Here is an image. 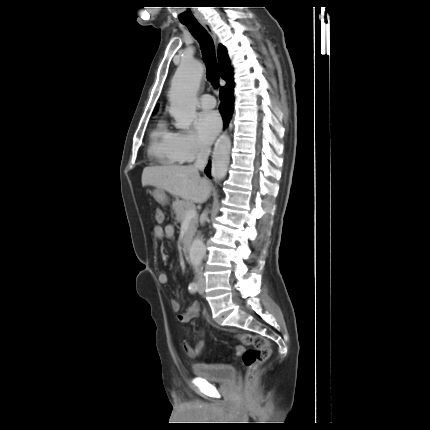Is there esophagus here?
<instances>
[{
  "label": "esophagus",
  "instance_id": "esophagus-1",
  "mask_svg": "<svg viewBox=\"0 0 430 430\" xmlns=\"http://www.w3.org/2000/svg\"><path fill=\"white\" fill-rule=\"evenodd\" d=\"M201 24L206 29V31L210 34V36L214 40L215 44L217 45V36H216L213 28L211 27V25L206 21L201 22Z\"/></svg>",
  "mask_w": 430,
  "mask_h": 430
}]
</instances>
